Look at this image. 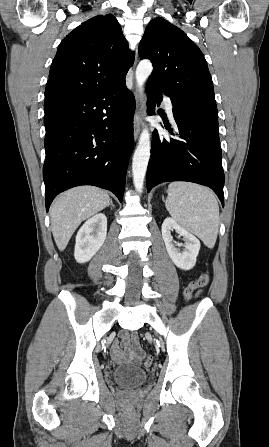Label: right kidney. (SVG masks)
Instances as JSON below:
<instances>
[{
    "instance_id": "obj_1",
    "label": "right kidney",
    "mask_w": 269,
    "mask_h": 447,
    "mask_svg": "<svg viewBox=\"0 0 269 447\" xmlns=\"http://www.w3.org/2000/svg\"><path fill=\"white\" fill-rule=\"evenodd\" d=\"M107 235L105 214H96L80 227L76 235L74 257L78 263L89 261L103 245Z\"/></svg>"
}]
</instances>
